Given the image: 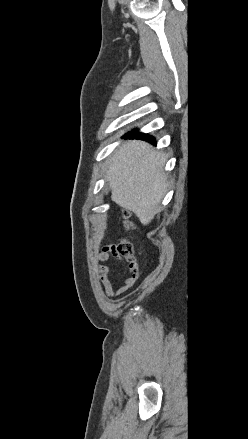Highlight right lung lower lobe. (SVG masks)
I'll list each match as a JSON object with an SVG mask.
<instances>
[{"instance_id": "98d812e1", "label": "right lung lower lobe", "mask_w": 248, "mask_h": 439, "mask_svg": "<svg viewBox=\"0 0 248 439\" xmlns=\"http://www.w3.org/2000/svg\"><path fill=\"white\" fill-rule=\"evenodd\" d=\"M126 136L132 137V138H141V139L147 140V141H149V142H151L153 144L155 143V139L154 138L150 137L149 135H146V134H143V133H139L137 130H133V131L127 133Z\"/></svg>"}]
</instances>
